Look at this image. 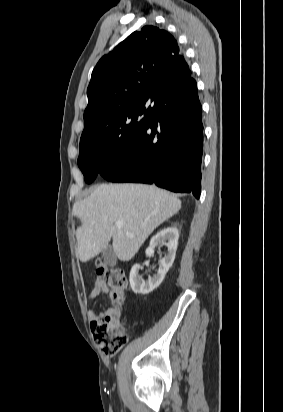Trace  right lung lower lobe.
Masks as SVG:
<instances>
[{
  "instance_id": "obj_1",
  "label": "right lung lower lobe",
  "mask_w": 283,
  "mask_h": 412,
  "mask_svg": "<svg viewBox=\"0 0 283 412\" xmlns=\"http://www.w3.org/2000/svg\"><path fill=\"white\" fill-rule=\"evenodd\" d=\"M203 123L196 81L189 77L152 113L134 145L100 175L111 182L155 183L173 192H201Z\"/></svg>"
}]
</instances>
